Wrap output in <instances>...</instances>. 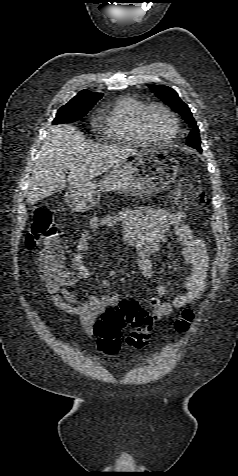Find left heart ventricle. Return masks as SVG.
<instances>
[{
    "instance_id": "obj_1",
    "label": "left heart ventricle",
    "mask_w": 238,
    "mask_h": 476,
    "mask_svg": "<svg viewBox=\"0 0 238 476\" xmlns=\"http://www.w3.org/2000/svg\"><path fill=\"white\" fill-rule=\"evenodd\" d=\"M149 133L157 140L168 139L174 130L171 118L161 109H152L146 118Z\"/></svg>"
}]
</instances>
